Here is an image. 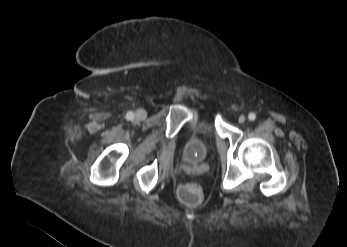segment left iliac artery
I'll list each match as a JSON object with an SVG mask.
<instances>
[{
	"label": "left iliac artery",
	"mask_w": 347,
	"mask_h": 247,
	"mask_svg": "<svg viewBox=\"0 0 347 247\" xmlns=\"http://www.w3.org/2000/svg\"><path fill=\"white\" fill-rule=\"evenodd\" d=\"M248 119H249L250 121H254V120L256 119V115H255L254 113H250V114L248 115Z\"/></svg>",
	"instance_id": "left-iliac-artery-1"
}]
</instances>
